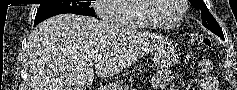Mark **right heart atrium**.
<instances>
[{"label": "right heart atrium", "mask_w": 237, "mask_h": 90, "mask_svg": "<svg viewBox=\"0 0 237 90\" xmlns=\"http://www.w3.org/2000/svg\"><path fill=\"white\" fill-rule=\"evenodd\" d=\"M121 0H98V2H93L94 6H91V9L94 12H98V16L101 20H110V16L108 13V8H104V6H112L113 3H120Z\"/></svg>", "instance_id": "1"}]
</instances>
